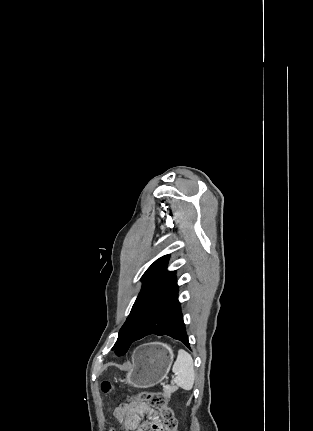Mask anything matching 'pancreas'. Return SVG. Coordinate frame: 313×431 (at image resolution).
<instances>
[{"label": "pancreas", "instance_id": "pancreas-1", "mask_svg": "<svg viewBox=\"0 0 313 431\" xmlns=\"http://www.w3.org/2000/svg\"><path fill=\"white\" fill-rule=\"evenodd\" d=\"M177 390L176 386H163L164 396L170 397L171 393Z\"/></svg>", "mask_w": 313, "mask_h": 431}]
</instances>
